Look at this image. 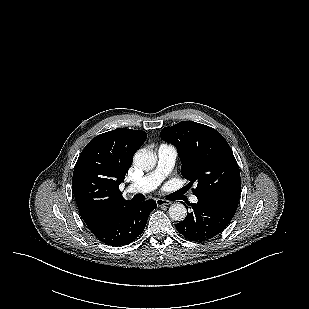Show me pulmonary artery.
I'll return each mask as SVG.
<instances>
[{
    "label": "pulmonary artery",
    "instance_id": "pulmonary-artery-1",
    "mask_svg": "<svg viewBox=\"0 0 309 309\" xmlns=\"http://www.w3.org/2000/svg\"><path fill=\"white\" fill-rule=\"evenodd\" d=\"M177 157L174 146L162 144L157 149V163L154 170L144 175L127 187L128 193H148L156 189L160 183L170 174ZM192 203H197L196 196H191Z\"/></svg>",
    "mask_w": 309,
    "mask_h": 309
}]
</instances>
